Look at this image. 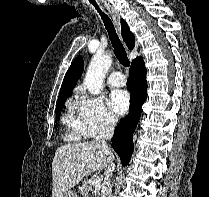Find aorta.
<instances>
[{"label":"aorta","instance_id":"1","mask_svg":"<svg viewBox=\"0 0 209 197\" xmlns=\"http://www.w3.org/2000/svg\"><path fill=\"white\" fill-rule=\"evenodd\" d=\"M111 64V54H95L93 56L84 78V86L90 94L98 95L101 92L103 79Z\"/></svg>","mask_w":209,"mask_h":197}]
</instances>
